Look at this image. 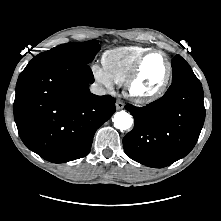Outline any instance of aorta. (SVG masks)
Instances as JSON below:
<instances>
[{
  "mask_svg": "<svg viewBox=\"0 0 221 221\" xmlns=\"http://www.w3.org/2000/svg\"><path fill=\"white\" fill-rule=\"evenodd\" d=\"M113 122L115 128L119 130H127L132 126L133 118L129 113L120 111L114 114Z\"/></svg>",
  "mask_w": 221,
  "mask_h": 221,
  "instance_id": "obj_1",
  "label": "aorta"
}]
</instances>
